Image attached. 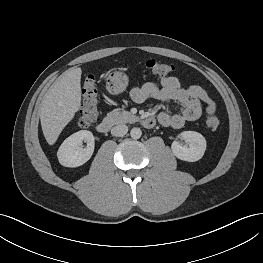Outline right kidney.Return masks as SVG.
<instances>
[{
  "instance_id": "1",
  "label": "right kidney",
  "mask_w": 263,
  "mask_h": 263,
  "mask_svg": "<svg viewBox=\"0 0 263 263\" xmlns=\"http://www.w3.org/2000/svg\"><path fill=\"white\" fill-rule=\"evenodd\" d=\"M87 143L86 148H82V142ZM94 151V136L90 131H78L61 144L57 152L59 163L65 167H78L86 163Z\"/></svg>"
}]
</instances>
